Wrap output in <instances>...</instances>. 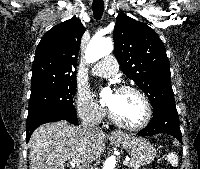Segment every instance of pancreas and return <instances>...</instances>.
Segmentation results:
<instances>
[{"mask_svg": "<svg viewBox=\"0 0 200 169\" xmlns=\"http://www.w3.org/2000/svg\"><path fill=\"white\" fill-rule=\"evenodd\" d=\"M128 167L132 168V169H139V165L137 163H135L133 160H131L130 162H128Z\"/></svg>", "mask_w": 200, "mask_h": 169, "instance_id": "1", "label": "pancreas"}]
</instances>
